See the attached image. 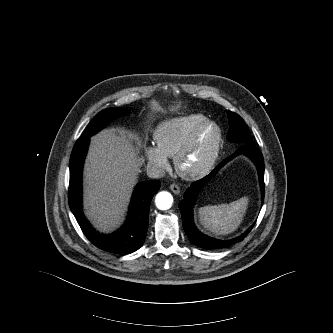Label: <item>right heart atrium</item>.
<instances>
[{
    "label": "right heart atrium",
    "instance_id": "right-heart-atrium-1",
    "mask_svg": "<svg viewBox=\"0 0 333 333\" xmlns=\"http://www.w3.org/2000/svg\"><path fill=\"white\" fill-rule=\"evenodd\" d=\"M148 165L157 173H164L169 168L168 158L155 145H147L144 149Z\"/></svg>",
    "mask_w": 333,
    "mask_h": 333
}]
</instances>
